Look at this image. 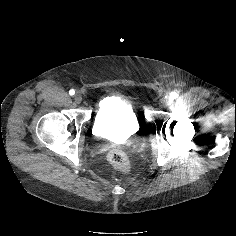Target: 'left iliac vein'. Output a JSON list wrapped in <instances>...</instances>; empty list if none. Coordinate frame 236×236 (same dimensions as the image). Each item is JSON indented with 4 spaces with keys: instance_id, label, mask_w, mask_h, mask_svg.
<instances>
[{
    "instance_id": "4c4485c4",
    "label": "left iliac vein",
    "mask_w": 236,
    "mask_h": 236,
    "mask_svg": "<svg viewBox=\"0 0 236 236\" xmlns=\"http://www.w3.org/2000/svg\"><path fill=\"white\" fill-rule=\"evenodd\" d=\"M170 102H171V99H170L169 97H167V98H162V99L160 100V104L163 105V106L169 105Z\"/></svg>"
}]
</instances>
